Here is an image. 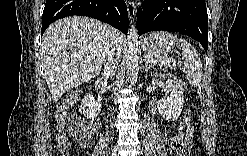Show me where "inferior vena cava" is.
<instances>
[{
	"label": "inferior vena cava",
	"mask_w": 247,
	"mask_h": 156,
	"mask_svg": "<svg viewBox=\"0 0 247 156\" xmlns=\"http://www.w3.org/2000/svg\"><path fill=\"white\" fill-rule=\"evenodd\" d=\"M109 37L104 54V72L113 75L121 57V47L117 38V31L108 27Z\"/></svg>",
	"instance_id": "inferior-vena-cava-1"
}]
</instances>
